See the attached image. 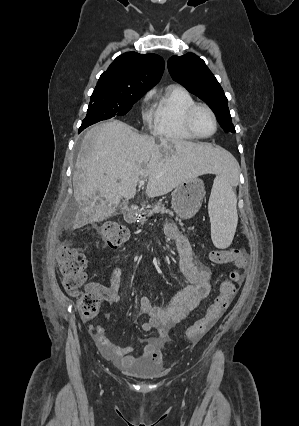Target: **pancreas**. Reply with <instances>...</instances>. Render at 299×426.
Masks as SVG:
<instances>
[{"mask_svg": "<svg viewBox=\"0 0 299 426\" xmlns=\"http://www.w3.org/2000/svg\"><path fill=\"white\" fill-rule=\"evenodd\" d=\"M149 207H150V209H148L144 212V215L146 217H150V216H152L153 214H156V213H162V214L166 213V214H169L170 216H173V212L170 211L169 209H166L164 204H162L160 202L153 204L152 206H149ZM176 221H179L180 225L183 226V224L181 223V221L178 218H176ZM190 229L191 228H189V230Z\"/></svg>", "mask_w": 299, "mask_h": 426, "instance_id": "cf45deb5", "label": "pancreas"}]
</instances>
